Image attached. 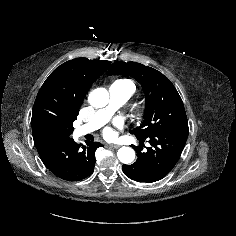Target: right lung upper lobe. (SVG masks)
<instances>
[{
  "label": "right lung upper lobe",
  "mask_w": 236,
  "mask_h": 236,
  "mask_svg": "<svg viewBox=\"0 0 236 236\" xmlns=\"http://www.w3.org/2000/svg\"><path fill=\"white\" fill-rule=\"evenodd\" d=\"M110 64V61L76 58L58 66L36 97L31 118L33 139L69 138L88 89Z\"/></svg>",
  "instance_id": "1"
}]
</instances>
